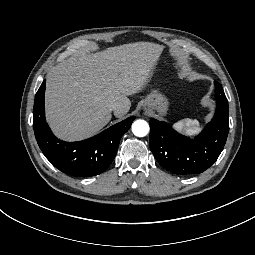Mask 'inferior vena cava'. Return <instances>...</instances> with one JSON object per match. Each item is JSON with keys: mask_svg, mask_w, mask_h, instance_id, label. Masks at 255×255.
<instances>
[{"mask_svg": "<svg viewBox=\"0 0 255 255\" xmlns=\"http://www.w3.org/2000/svg\"><path fill=\"white\" fill-rule=\"evenodd\" d=\"M111 110L115 111L120 108V104L118 102H114L111 104Z\"/></svg>", "mask_w": 255, "mask_h": 255, "instance_id": "602c4592", "label": "inferior vena cava"}]
</instances>
